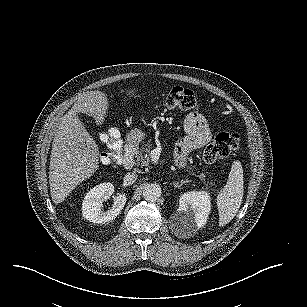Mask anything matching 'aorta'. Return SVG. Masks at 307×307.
Returning <instances> with one entry per match:
<instances>
[{"label": "aorta", "mask_w": 307, "mask_h": 307, "mask_svg": "<svg viewBox=\"0 0 307 307\" xmlns=\"http://www.w3.org/2000/svg\"><path fill=\"white\" fill-rule=\"evenodd\" d=\"M143 197L148 202H155L158 198L161 197L162 190L159 185L156 184H147L143 189Z\"/></svg>", "instance_id": "obj_1"}]
</instances>
